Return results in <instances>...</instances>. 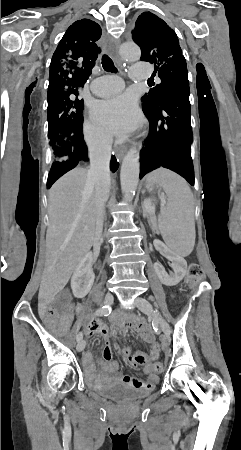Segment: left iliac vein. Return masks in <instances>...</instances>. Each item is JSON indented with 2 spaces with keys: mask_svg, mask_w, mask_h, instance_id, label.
I'll use <instances>...</instances> for the list:
<instances>
[{
  "mask_svg": "<svg viewBox=\"0 0 241 450\" xmlns=\"http://www.w3.org/2000/svg\"><path fill=\"white\" fill-rule=\"evenodd\" d=\"M135 305L143 313L150 316L152 322H154L163 332L162 341L165 342L169 339L171 334V329L169 324L161 318L153 309L151 303L143 297H137L135 300Z\"/></svg>",
  "mask_w": 241,
  "mask_h": 450,
  "instance_id": "4c4485c4",
  "label": "left iliac vein"
}]
</instances>
